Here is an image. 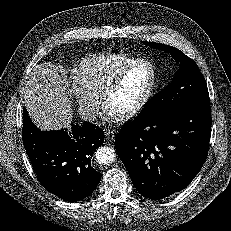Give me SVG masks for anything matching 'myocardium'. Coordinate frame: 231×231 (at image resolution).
<instances>
[{
  "instance_id": "1",
  "label": "myocardium",
  "mask_w": 231,
  "mask_h": 231,
  "mask_svg": "<svg viewBox=\"0 0 231 231\" xmlns=\"http://www.w3.org/2000/svg\"><path fill=\"white\" fill-rule=\"evenodd\" d=\"M142 64L148 65L151 69L152 77H151L150 84L147 90L145 91V93L143 94V96L139 99V101L134 106L118 114L109 113L116 120H119V121L129 120L132 117L136 116L138 113H140L143 110V108L147 105V103L151 99L157 87L158 73H157L156 66L149 59H144V58L137 59L131 64H129L128 66H126L124 69H122L110 81H108L101 91V94L99 96L100 104L102 108L106 110V102L108 98L122 85L127 75L134 68Z\"/></svg>"
}]
</instances>
